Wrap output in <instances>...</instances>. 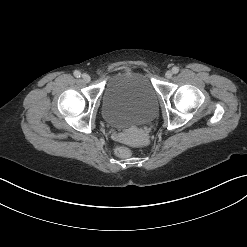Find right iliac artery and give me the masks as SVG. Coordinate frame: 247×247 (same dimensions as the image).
I'll return each instance as SVG.
<instances>
[{
    "mask_svg": "<svg viewBox=\"0 0 247 247\" xmlns=\"http://www.w3.org/2000/svg\"><path fill=\"white\" fill-rule=\"evenodd\" d=\"M74 76L79 78L81 76V73L79 71H74Z\"/></svg>",
    "mask_w": 247,
    "mask_h": 247,
    "instance_id": "obj_1",
    "label": "right iliac artery"
}]
</instances>
